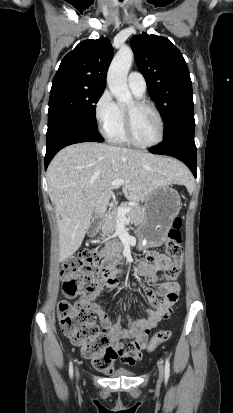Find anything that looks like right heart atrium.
Instances as JSON below:
<instances>
[{
    "instance_id": "right-heart-atrium-1",
    "label": "right heart atrium",
    "mask_w": 233,
    "mask_h": 413,
    "mask_svg": "<svg viewBox=\"0 0 233 413\" xmlns=\"http://www.w3.org/2000/svg\"><path fill=\"white\" fill-rule=\"evenodd\" d=\"M94 118L99 130L107 136L118 119V106L109 90H104L94 104Z\"/></svg>"
}]
</instances>
